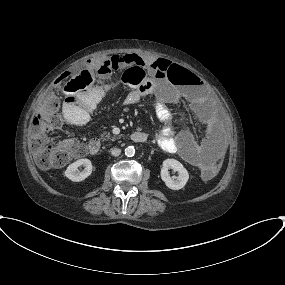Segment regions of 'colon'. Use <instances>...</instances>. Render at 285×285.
<instances>
[{
  "mask_svg": "<svg viewBox=\"0 0 285 285\" xmlns=\"http://www.w3.org/2000/svg\"><path fill=\"white\" fill-rule=\"evenodd\" d=\"M124 71L120 81L131 88L143 91L148 85L147 64L139 60L135 64H126L124 59L117 55L106 59H98L81 66L79 69L62 74L57 80L54 90L48 93L40 104L36 116L33 118L29 130V146L33 160L40 168L61 167L71 160L86 153L84 144L75 139L55 141L50 135L63 124L59 115L60 94L79 91L95 79H104L114 75L121 67ZM169 77L175 84L184 85L190 77L187 70L178 68L170 61L158 59L153 64ZM91 113V109L87 108ZM222 165L218 158L212 165L201 171L203 179H211Z\"/></svg>",
  "mask_w": 285,
  "mask_h": 285,
  "instance_id": "1",
  "label": "colon"
}]
</instances>
